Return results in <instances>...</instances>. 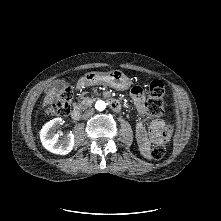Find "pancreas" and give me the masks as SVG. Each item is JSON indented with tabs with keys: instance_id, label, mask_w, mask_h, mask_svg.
<instances>
[{
	"instance_id": "pancreas-1",
	"label": "pancreas",
	"mask_w": 221,
	"mask_h": 221,
	"mask_svg": "<svg viewBox=\"0 0 221 221\" xmlns=\"http://www.w3.org/2000/svg\"><path fill=\"white\" fill-rule=\"evenodd\" d=\"M83 100L80 102L79 107L80 108H84L87 106H90L93 102V99L89 98V97H81Z\"/></svg>"
}]
</instances>
